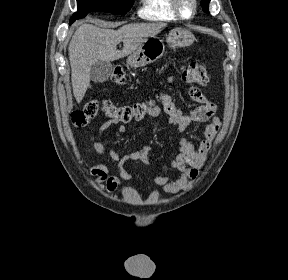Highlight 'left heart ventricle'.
I'll use <instances>...</instances> for the list:
<instances>
[{
    "instance_id": "1",
    "label": "left heart ventricle",
    "mask_w": 288,
    "mask_h": 280,
    "mask_svg": "<svg viewBox=\"0 0 288 280\" xmlns=\"http://www.w3.org/2000/svg\"><path fill=\"white\" fill-rule=\"evenodd\" d=\"M182 11L185 15L190 14L191 12V4L188 2V0H183L181 4Z\"/></svg>"
}]
</instances>
